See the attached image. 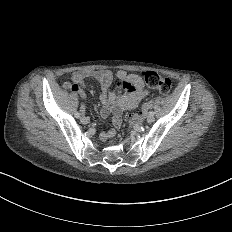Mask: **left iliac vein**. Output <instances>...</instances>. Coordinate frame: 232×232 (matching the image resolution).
<instances>
[{
  "instance_id": "4c4485c4",
  "label": "left iliac vein",
  "mask_w": 232,
  "mask_h": 232,
  "mask_svg": "<svg viewBox=\"0 0 232 232\" xmlns=\"http://www.w3.org/2000/svg\"><path fill=\"white\" fill-rule=\"evenodd\" d=\"M147 122L148 123H153L154 122V117L153 116H148L147 117Z\"/></svg>"
}]
</instances>
